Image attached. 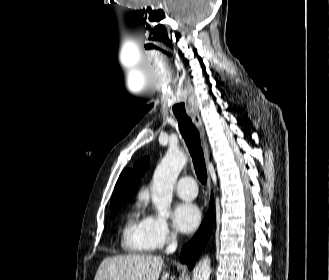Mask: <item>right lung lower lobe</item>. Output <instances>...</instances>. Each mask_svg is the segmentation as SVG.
Instances as JSON below:
<instances>
[{
	"instance_id": "98d812e1",
	"label": "right lung lower lobe",
	"mask_w": 329,
	"mask_h": 280,
	"mask_svg": "<svg viewBox=\"0 0 329 280\" xmlns=\"http://www.w3.org/2000/svg\"><path fill=\"white\" fill-rule=\"evenodd\" d=\"M212 200L211 209L204 219L199 231L194 237L182 248L181 262L188 265L191 270L198 259L201 251L205 247L212 231Z\"/></svg>"
}]
</instances>
